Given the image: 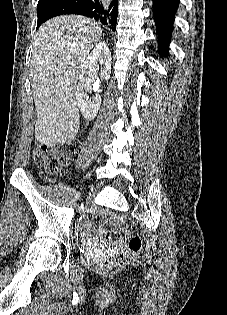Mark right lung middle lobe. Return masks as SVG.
<instances>
[{
    "mask_svg": "<svg viewBox=\"0 0 227 315\" xmlns=\"http://www.w3.org/2000/svg\"><path fill=\"white\" fill-rule=\"evenodd\" d=\"M63 0H39L37 5V27L51 18V12L59 6Z\"/></svg>",
    "mask_w": 227,
    "mask_h": 315,
    "instance_id": "dd1d6c3e",
    "label": "right lung middle lobe"
}]
</instances>
